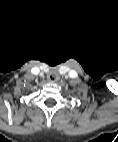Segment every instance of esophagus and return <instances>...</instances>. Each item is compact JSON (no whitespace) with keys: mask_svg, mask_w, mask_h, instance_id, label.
I'll return each instance as SVG.
<instances>
[{"mask_svg":"<svg viewBox=\"0 0 118 142\" xmlns=\"http://www.w3.org/2000/svg\"><path fill=\"white\" fill-rule=\"evenodd\" d=\"M49 80H50V81H54V80H55V77H54V76H51V77H49Z\"/></svg>","mask_w":118,"mask_h":142,"instance_id":"esophagus-1","label":"esophagus"}]
</instances>
